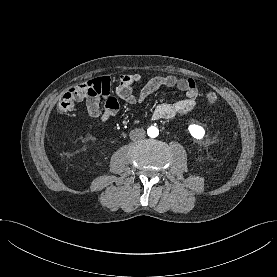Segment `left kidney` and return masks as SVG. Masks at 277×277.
<instances>
[{
	"mask_svg": "<svg viewBox=\"0 0 277 277\" xmlns=\"http://www.w3.org/2000/svg\"><path fill=\"white\" fill-rule=\"evenodd\" d=\"M189 133L192 135L193 138L197 140H201L205 135V130L202 126L197 124H191L188 127Z\"/></svg>",
	"mask_w": 277,
	"mask_h": 277,
	"instance_id": "1",
	"label": "left kidney"
}]
</instances>
